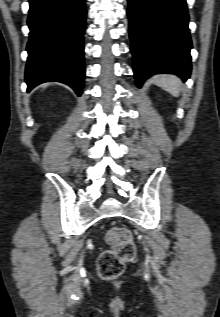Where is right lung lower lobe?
<instances>
[{"label":"right lung lower lobe","mask_w":220,"mask_h":317,"mask_svg":"<svg viewBox=\"0 0 220 317\" xmlns=\"http://www.w3.org/2000/svg\"><path fill=\"white\" fill-rule=\"evenodd\" d=\"M25 81L28 91L61 82L81 95L84 85L85 0H29Z\"/></svg>","instance_id":"98d812e1"}]
</instances>
